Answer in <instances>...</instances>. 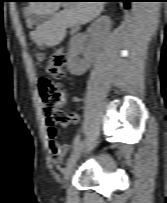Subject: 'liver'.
<instances>
[{"label": "liver", "instance_id": "1", "mask_svg": "<svg viewBox=\"0 0 167 203\" xmlns=\"http://www.w3.org/2000/svg\"><path fill=\"white\" fill-rule=\"evenodd\" d=\"M60 6L64 10L57 12ZM104 2H30L28 13L51 15V19L30 33L32 41L39 46H55L66 36V29L86 24L98 17ZM31 27V23L29 24Z\"/></svg>", "mask_w": 167, "mask_h": 203}]
</instances>
